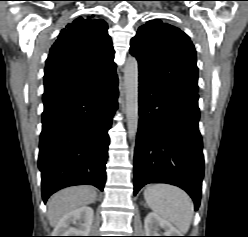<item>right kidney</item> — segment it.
Masks as SVG:
<instances>
[{"instance_id": "right-kidney-1", "label": "right kidney", "mask_w": 248, "mask_h": 237, "mask_svg": "<svg viewBox=\"0 0 248 237\" xmlns=\"http://www.w3.org/2000/svg\"><path fill=\"white\" fill-rule=\"evenodd\" d=\"M94 211L89 206L75 209L61 218L55 228L56 236H88Z\"/></svg>"}]
</instances>
